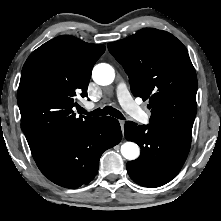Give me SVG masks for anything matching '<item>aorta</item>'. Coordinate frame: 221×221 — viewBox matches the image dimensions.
Returning a JSON list of instances; mask_svg holds the SVG:
<instances>
[{
	"mask_svg": "<svg viewBox=\"0 0 221 221\" xmlns=\"http://www.w3.org/2000/svg\"><path fill=\"white\" fill-rule=\"evenodd\" d=\"M93 80L99 85H109L115 78V71L112 66L106 63L96 65L92 72ZM121 154L128 160H135L139 154V146L133 142H126L121 146Z\"/></svg>",
	"mask_w": 221,
	"mask_h": 221,
	"instance_id": "obj_1",
	"label": "aorta"
}]
</instances>
